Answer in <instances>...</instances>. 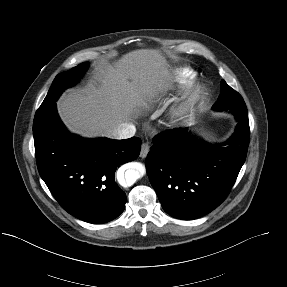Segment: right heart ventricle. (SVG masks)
I'll return each instance as SVG.
<instances>
[{"instance_id": "1", "label": "right heart ventricle", "mask_w": 287, "mask_h": 287, "mask_svg": "<svg viewBox=\"0 0 287 287\" xmlns=\"http://www.w3.org/2000/svg\"><path fill=\"white\" fill-rule=\"evenodd\" d=\"M193 79H194V74L187 69L179 70L175 76V81L180 86L188 85Z\"/></svg>"}]
</instances>
